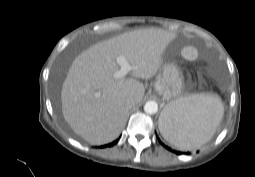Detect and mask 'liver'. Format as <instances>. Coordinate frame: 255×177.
<instances>
[{
  "mask_svg": "<svg viewBox=\"0 0 255 177\" xmlns=\"http://www.w3.org/2000/svg\"><path fill=\"white\" fill-rule=\"evenodd\" d=\"M176 35L157 29L126 32L99 42L78 55L69 68L61 90L62 112L73 131L92 145L115 140L123 130L128 99L139 104L144 85L163 65V54ZM124 56L132 66L131 76L114 78L120 69L116 58ZM163 110L160 119H168Z\"/></svg>",
  "mask_w": 255,
  "mask_h": 177,
  "instance_id": "liver-1",
  "label": "liver"
}]
</instances>
